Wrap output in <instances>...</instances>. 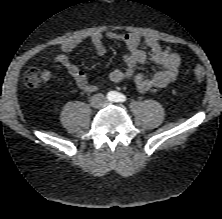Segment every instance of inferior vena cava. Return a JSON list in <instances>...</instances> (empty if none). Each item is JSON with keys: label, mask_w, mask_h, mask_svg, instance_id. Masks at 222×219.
Wrapping results in <instances>:
<instances>
[{"label": "inferior vena cava", "mask_w": 222, "mask_h": 219, "mask_svg": "<svg viewBox=\"0 0 222 219\" xmlns=\"http://www.w3.org/2000/svg\"><path fill=\"white\" fill-rule=\"evenodd\" d=\"M92 105H102L105 102L103 94H96L92 97Z\"/></svg>", "instance_id": "obj_1"}]
</instances>
